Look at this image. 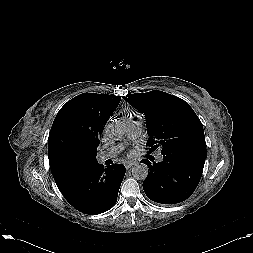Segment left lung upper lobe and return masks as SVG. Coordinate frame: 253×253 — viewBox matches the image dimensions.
I'll use <instances>...</instances> for the list:
<instances>
[{
    "label": "left lung upper lobe",
    "instance_id": "left-lung-upper-lobe-1",
    "mask_svg": "<svg viewBox=\"0 0 253 253\" xmlns=\"http://www.w3.org/2000/svg\"><path fill=\"white\" fill-rule=\"evenodd\" d=\"M123 98L145 115L151 151L160 147L161 154L186 150L207 154L202 123L186 101L158 90Z\"/></svg>",
    "mask_w": 253,
    "mask_h": 253
}]
</instances>
